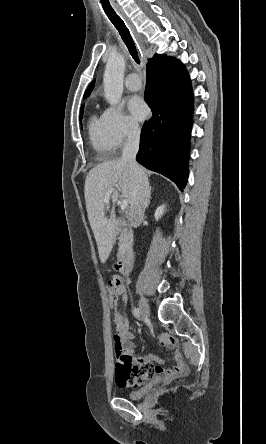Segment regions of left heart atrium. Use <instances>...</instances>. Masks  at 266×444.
I'll return each mask as SVG.
<instances>
[{"instance_id": "left-heart-atrium-1", "label": "left heart atrium", "mask_w": 266, "mask_h": 444, "mask_svg": "<svg viewBox=\"0 0 266 444\" xmlns=\"http://www.w3.org/2000/svg\"><path fill=\"white\" fill-rule=\"evenodd\" d=\"M128 109L131 112L132 116L142 121L148 115V107L142 98L138 96H133L128 101Z\"/></svg>"}]
</instances>
